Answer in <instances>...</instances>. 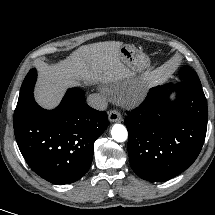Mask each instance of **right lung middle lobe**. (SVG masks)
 Instances as JSON below:
<instances>
[{
	"label": "right lung middle lobe",
	"mask_w": 215,
	"mask_h": 215,
	"mask_svg": "<svg viewBox=\"0 0 215 215\" xmlns=\"http://www.w3.org/2000/svg\"><path fill=\"white\" fill-rule=\"evenodd\" d=\"M36 77V69H31L23 81L18 103L14 112V126L18 125L22 118L29 112L30 107L33 104V87L36 81Z\"/></svg>",
	"instance_id": "right-lung-middle-lobe-1"
}]
</instances>
